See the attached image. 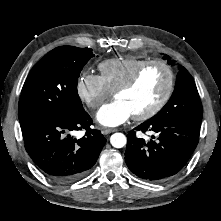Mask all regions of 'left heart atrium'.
I'll list each match as a JSON object with an SVG mask.
<instances>
[{
	"mask_svg": "<svg viewBox=\"0 0 221 221\" xmlns=\"http://www.w3.org/2000/svg\"><path fill=\"white\" fill-rule=\"evenodd\" d=\"M131 116H133V113L128 105L116 98L102 106L96 118L101 125L114 127L126 122Z\"/></svg>",
	"mask_w": 221,
	"mask_h": 221,
	"instance_id": "1",
	"label": "left heart atrium"
}]
</instances>
